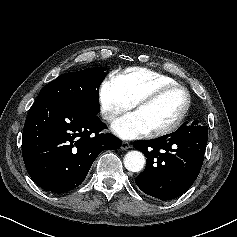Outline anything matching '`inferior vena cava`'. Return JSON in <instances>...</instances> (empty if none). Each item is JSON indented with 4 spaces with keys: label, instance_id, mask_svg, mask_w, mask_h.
Returning <instances> with one entry per match:
<instances>
[{
    "label": "inferior vena cava",
    "instance_id": "obj_1",
    "mask_svg": "<svg viewBox=\"0 0 237 237\" xmlns=\"http://www.w3.org/2000/svg\"><path fill=\"white\" fill-rule=\"evenodd\" d=\"M103 117H104V119L112 120V119L114 118V115L111 114V113H107V112H106V113L103 115Z\"/></svg>",
    "mask_w": 237,
    "mask_h": 237
}]
</instances>
